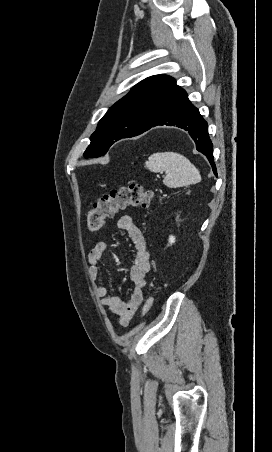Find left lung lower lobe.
Instances as JSON below:
<instances>
[{"instance_id": "1", "label": "left lung lower lobe", "mask_w": 272, "mask_h": 452, "mask_svg": "<svg viewBox=\"0 0 272 452\" xmlns=\"http://www.w3.org/2000/svg\"><path fill=\"white\" fill-rule=\"evenodd\" d=\"M159 125L176 126L187 131L194 140L196 149L207 157L217 176L213 159V144L208 135V124L198 109L189 101L187 93L182 88L173 95L155 122L145 131Z\"/></svg>"}]
</instances>
